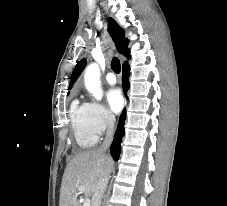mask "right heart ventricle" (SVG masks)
<instances>
[{
	"instance_id": "1",
	"label": "right heart ventricle",
	"mask_w": 227,
	"mask_h": 206,
	"mask_svg": "<svg viewBox=\"0 0 227 206\" xmlns=\"http://www.w3.org/2000/svg\"><path fill=\"white\" fill-rule=\"evenodd\" d=\"M70 120L77 144L84 149L94 146L98 135L89 124L86 104L74 100L70 106Z\"/></svg>"
}]
</instances>
